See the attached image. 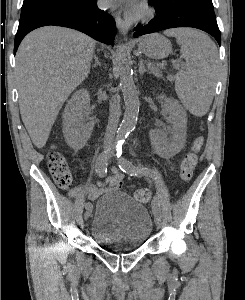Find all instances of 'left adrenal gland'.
<instances>
[{
  "instance_id": "a2214340",
  "label": "left adrenal gland",
  "mask_w": 245,
  "mask_h": 300,
  "mask_svg": "<svg viewBox=\"0 0 245 300\" xmlns=\"http://www.w3.org/2000/svg\"><path fill=\"white\" fill-rule=\"evenodd\" d=\"M145 73H151L148 69L145 68L144 60L139 62V74L140 76L144 75Z\"/></svg>"
}]
</instances>
